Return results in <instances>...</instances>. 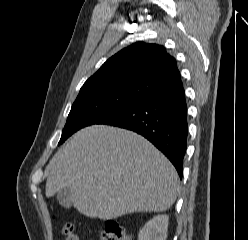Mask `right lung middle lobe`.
<instances>
[{
  "mask_svg": "<svg viewBox=\"0 0 248 240\" xmlns=\"http://www.w3.org/2000/svg\"><path fill=\"white\" fill-rule=\"evenodd\" d=\"M138 99L112 89H81L72 105L59 144L77 130L97 123Z\"/></svg>",
  "mask_w": 248,
  "mask_h": 240,
  "instance_id": "dd1d6c3e",
  "label": "right lung middle lobe"
}]
</instances>
